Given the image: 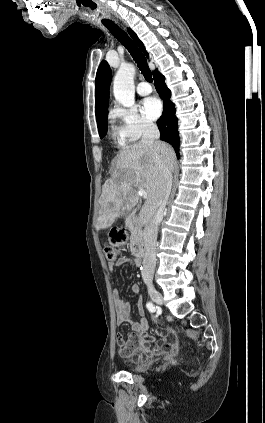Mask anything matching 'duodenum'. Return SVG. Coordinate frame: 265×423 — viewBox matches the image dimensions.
Returning <instances> with one entry per match:
<instances>
[{
    "label": "duodenum",
    "instance_id": "duodenum-1",
    "mask_svg": "<svg viewBox=\"0 0 265 423\" xmlns=\"http://www.w3.org/2000/svg\"><path fill=\"white\" fill-rule=\"evenodd\" d=\"M129 230L131 233V250L138 263H141L144 256V250L141 244V237L136 220H131L129 224Z\"/></svg>",
    "mask_w": 265,
    "mask_h": 423
}]
</instances>
